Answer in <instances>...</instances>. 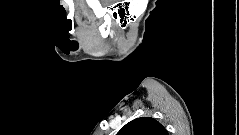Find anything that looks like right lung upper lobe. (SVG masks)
<instances>
[{
	"label": "right lung upper lobe",
	"mask_w": 239,
	"mask_h": 135,
	"mask_svg": "<svg viewBox=\"0 0 239 135\" xmlns=\"http://www.w3.org/2000/svg\"><path fill=\"white\" fill-rule=\"evenodd\" d=\"M116 135H168V132L154 118L141 117L128 122Z\"/></svg>",
	"instance_id": "1"
}]
</instances>
